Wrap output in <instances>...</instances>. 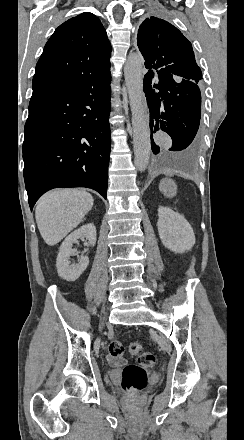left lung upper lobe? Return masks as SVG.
I'll list each match as a JSON object with an SVG mask.
<instances>
[{
    "mask_svg": "<svg viewBox=\"0 0 244 440\" xmlns=\"http://www.w3.org/2000/svg\"><path fill=\"white\" fill-rule=\"evenodd\" d=\"M137 45L147 69L172 74L178 80L198 83L202 79L191 43L169 22L146 18L139 27Z\"/></svg>",
    "mask_w": 244,
    "mask_h": 440,
    "instance_id": "1",
    "label": "left lung upper lobe"
}]
</instances>
